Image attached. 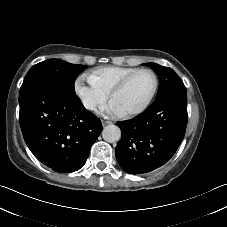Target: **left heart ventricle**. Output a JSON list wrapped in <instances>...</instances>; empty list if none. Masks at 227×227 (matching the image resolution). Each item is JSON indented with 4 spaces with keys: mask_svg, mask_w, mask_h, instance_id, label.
Here are the masks:
<instances>
[{
    "mask_svg": "<svg viewBox=\"0 0 227 227\" xmlns=\"http://www.w3.org/2000/svg\"><path fill=\"white\" fill-rule=\"evenodd\" d=\"M154 87V78L149 73L135 77L122 92L114 97L125 112L139 108L149 97Z\"/></svg>",
    "mask_w": 227,
    "mask_h": 227,
    "instance_id": "obj_1",
    "label": "left heart ventricle"
}]
</instances>
